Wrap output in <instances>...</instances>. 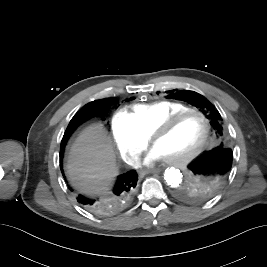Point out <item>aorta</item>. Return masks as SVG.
<instances>
[{"label": "aorta", "instance_id": "762f6f07", "mask_svg": "<svg viewBox=\"0 0 267 267\" xmlns=\"http://www.w3.org/2000/svg\"><path fill=\"white\" fill-rule=\"evenodd\" d=\"M183 172L177 168L170 167L164 172V180L171 187H178L183 180Z\"/></svg>", "mask_w": 267, "mask_h": 267}]
</instances>
